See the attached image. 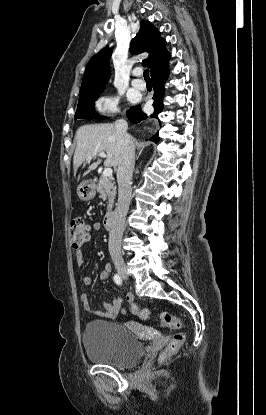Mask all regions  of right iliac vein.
<instances>
[{"label":"right iliac vein","instance_id":"right-iliac-vein-1","mask_svg":"<svg viewBox=\"0 0 266 415\" xmlns=\"http://www.w3.org/2000/svg\"><path fill=\"white\" fill-rule=\"evenodd\" d=\"M114 265L116 267L118 274L126 279L128 277V272L127 266L125 265L124 261L122 259L117 258L114 260Z\"/></svg>","mask_w":266,"mask_h":415}]
</instances>
